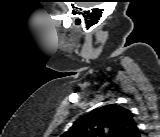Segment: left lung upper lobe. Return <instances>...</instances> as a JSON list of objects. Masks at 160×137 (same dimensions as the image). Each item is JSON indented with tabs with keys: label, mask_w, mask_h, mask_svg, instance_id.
Listing matches in <instances>:
<instances>
[{
	"label": "left lung upper lobe",
	"mask_w": 160,
	"mask_h": 137,
	"mask_svg": "<svg viewBox=\"0 0 160 137\" xmlns=\"http://www.w3.org/2000/svg\"><path fill=\"white\" fill-rule=\"evenodd\" d=\"M133 114L117 104L105 105L79 118L64 137H135Z\"/></svg>",
	"instance_id": "5c2ea615"
}]
</instances>
